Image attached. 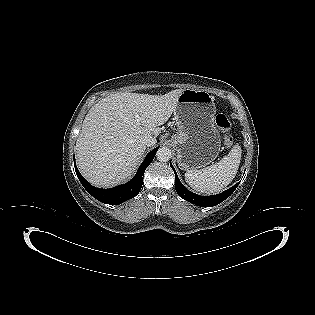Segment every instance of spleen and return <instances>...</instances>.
I'll use <instances>...</instances> for the list:
<instances>
[{
  "instance_id": "1",
  "label": "spleen",
  "mask_w": 315,
  "mask_h": 315,
  "mask_svg": "<svg viewBox=\"0 0 315 315\" xmlns=\"http://www.w3.org/2000/svg\"><path fill=\"white\" fill-rule=\"evenodd\" d=\"M241 147L233 146L227 156L203 169H192L185 173V180L201 193H218L229 185L237 174L241 159Z\"/></svg>"
}]
</instances>
